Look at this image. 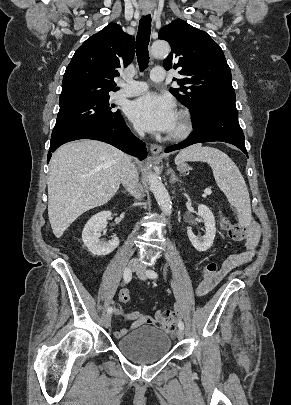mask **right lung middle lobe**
Masks as SVG:
<instances>
[{"instance_id":"right-lung-middle-lobe-1","label":"right lung middle lobe","mask_w":291,"mask_h":405,"mask_svg":"<svg viewBox=\"0 0 291 405\" xmlns=\"http://www.w3.org/2000/svg\"><path fill=\"white\" fill-rule=\"evenodd\" d=\"M60 110L51 137L82 126H106L121 114L109 104V96L60 101Z\"/></svg>"}]
</instances>
